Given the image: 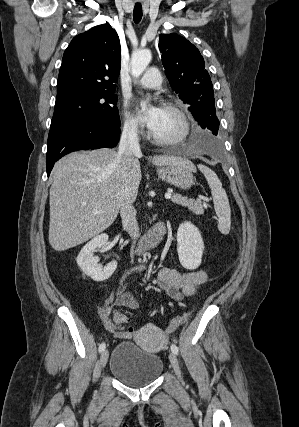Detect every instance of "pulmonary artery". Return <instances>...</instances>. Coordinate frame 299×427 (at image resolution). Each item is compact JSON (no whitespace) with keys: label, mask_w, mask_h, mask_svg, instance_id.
<instances>
[{"label":"pulmonary artery","mask_w":299,"mask_h":427,"mask_svg":"<svg viewBox=\"0 0 299 427\" xmlns=\"http://www.w3.org/2000/svg\"><path fill=\"white\" fill-rule=\"evenodd\" d=\"M162 83L161 74L157 68H148L144 76L140 79L139 84L146 89H156Z\"/></svg>","instance_id":"pulmonary-artery-1"}]
</instances>
